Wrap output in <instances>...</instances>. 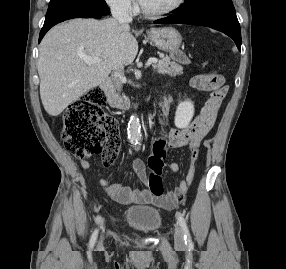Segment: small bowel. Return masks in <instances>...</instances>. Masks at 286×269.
Segmentation results:
<instances>
[{
	"label": "small bowel",
	"mask_w": 286,
	"mask_h": 269,
	"mask_svg": "<svg viewBox=\"0 0 286 269\" xmlns=\"http://www.w3.org/2000/svg\"><path fill=\"white\" fill-rule=\"evenodd\" d=\"M171 105V99L165 96L161 104L163 111H168ZM219 110H201L193 121V123L183 130H172L169 133L168 145L171 148L188 147L190 150L188 171L184 179L179 183V186L165 195L155 196L147 190H136L129 187H124L117 183H110L105 179H100V186L106 191L108 196L115 201L121 203H136L145 204L151 203L155 206L164 209H175L183 201L184 194L188 191L195 174V163L199 155V147L203 138L213 128ZM80 165L84 169H89L91 163L84 159L80 161ZM134 171L139 176L143 183H147L146 166L142 159L136 158L133 162ZM169 169L173 172L180 170V165L176 162L169 164Z\"/></svg>",
	"instance_id": "c3829d8e"
}]
</instances>
